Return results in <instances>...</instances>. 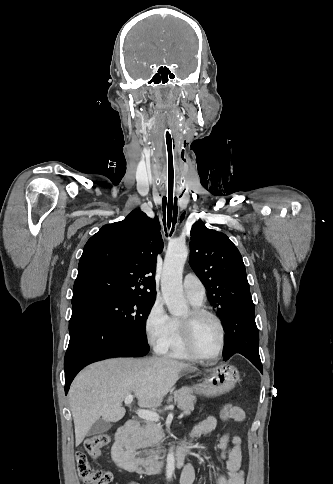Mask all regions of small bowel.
I'll list each match as a JSON object with an SVG mask.
<instances>
[{
    "label": "small bowel",
    "mask_w": 333,
    "mask_h": 484,
    "mask_svg": "<svg viewBox=\"0 0 333 484\" xmlns=\"http://www.w3.org/2000/svg\"><path fill=\"white\" fill-rule=\"evenodd\" d=\"M244 416L243 409L235 406L227 419L240 422L244 419ZM216 425L217 419L215 417H207L191 429L186 441H191L211 432ZM230 443L232 444V448L227 450ZM217 447L221 451L222 459L226 461V472L220 475L217 484H244L245 473L242 469L241 438L238 435L230 436L229 433H224L220 437ZM194 481L195 469L192 464H186L181 474L180 483L194 484ZM129 484L136 483L132 482Z\"/></svg>",
    "instance_id": "c3829d8e"
}]
</instances>
